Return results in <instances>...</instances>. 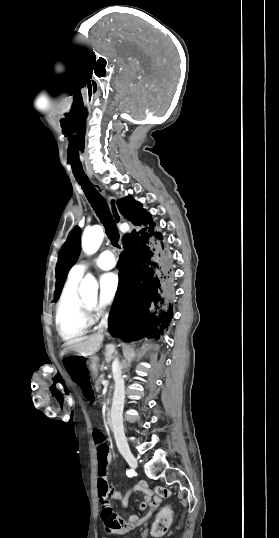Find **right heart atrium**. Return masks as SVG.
I'll return each mask as SVG.
<instances>
[{
    "label": "right heart atrium",
    "mask_w": 279,
    "mask_h": 538,
    "mask_svg": "<svg viewBox=\"0 0 279 538\" xmlns=\"http://www.w3.org/2000/svg\"><path fill=\"white\" fill-rule=\"evenodd\" d=\"M97 313H98V315H100V316H103V315H107V314H108V312L106 311L105 307L102 306V305H98V306H97Z\"/></svg>",
    "instance_id": "1"
}]
</instances>
